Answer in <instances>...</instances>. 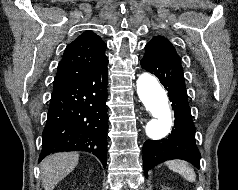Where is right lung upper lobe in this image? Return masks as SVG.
Returning <instances> with one entry per match:
<instances>
[{
  "label": "right lung upper lobe",
  "instance_id": "cb5924a9",
  "mask_svg": "<svg viewBox=\"0 0 238 190\" xmlns=\"http://www.w3.org/2000/svg\"><path fill=\"white\" fill-rule=\"evenodd\" d=\"M106 47V43L91 31L77 37L66 47L58 64L53 90L78 80L107 62Z\"/></svg>",
  "mask_w": 238,
  "mask_h": 190
}]
</instances>
